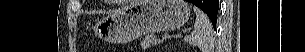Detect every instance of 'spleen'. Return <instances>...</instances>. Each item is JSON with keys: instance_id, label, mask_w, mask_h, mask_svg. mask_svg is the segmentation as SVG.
I'll return each instance as SVG.
<instances>
[{"instance_id": "spleen-1", "label": "spleen", "mask_w": 305, "mask_h": 52, "mask_svg": "<svg viewBox=\"0 0 305 52\" xmlns=\"http://www.w3.org/2000/svg\"><path fill=\"white\" fill-rule=\"evenodd\" d=\"M196 13V21L194 23V30L190 35L185 36V41L193 46L199 47L201 52H213L214 36L212 24L208 16L198 7H193Z\"/></svg>"}]
</instances>
